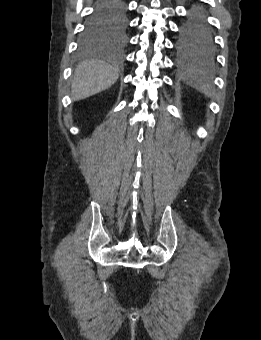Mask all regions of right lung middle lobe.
I'll return each instance as SVG.
<instances>
[{
  "label": "right lung middle lobe",
  "mask_w": 261,
  "mask_h": 340,
  "mask_svg": "<svg viewBox=\"0 0 261 340\" xmlns=\"http://www.w3.org/2000/svg\"><path fill=\"white\" fill-rule=\"evenodd\" d=\"M127 28L126 11L116 15L92 13L88 18L81 36V44L89 47L99 42L125 38Z\"/></svg>",
  "instance_id": "1"
}]
</instances>
